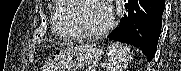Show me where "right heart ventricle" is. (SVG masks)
Listing matches in <instances>:
<instances>
[{
  "instance_id": "obj_1",
  "label": "right heart ventricle",
  "mask_w": 181,
  "mask_h": 71,
  "mask_svg": "<svg viewBox=\"0 0 181 71\" xmlns=\"http://www.w3.org/2000/svg\"><path fill=\"white\" fill-rule=\"evenodd\" d=\"M71 12V3L63 0L55 1L52 13V29L56 35L64 39L78 38L71 27Z\"/></svg>"
}]
</instances>
